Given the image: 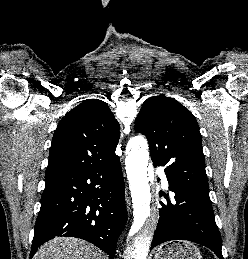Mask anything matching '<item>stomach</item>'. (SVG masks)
Returning <instances> with one entry per match:
<instances>
[{"mask_svg": "<svg viewBox=\"0 0 248 259\" xmlns=\"http://www.w3.org/2000/svg\"><path fill=\"white\" fill-rule=\"evenodd\" d=\"M154 259H202V256L193 243L180 240L158 247Z\"/></svg>", "mask_w": 248, "mask_h": 259, "instance_id": "stomach-1", "label": "stomach"}]
</instances>
